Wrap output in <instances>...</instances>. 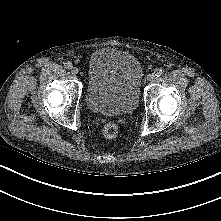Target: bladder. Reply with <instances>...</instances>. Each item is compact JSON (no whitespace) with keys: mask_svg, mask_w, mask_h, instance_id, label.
Returning <instances> with one entry per match:
<instances>
[{"mask_svg":"<svg viewBox=\"0 0 221 221\" xmlns=\"http://www.w3.org/2000/svg\"><path fill=\"white\" fill-rule=\"evenodd\" d=\"M143 69L127 51L95 50L88 62L85 100L90 110L108 116L132 113L139 102Z\"/></svg>","mask_w":221,"mask_h":221,"instance_id":"1","label":"bladder"}]
</instances>
